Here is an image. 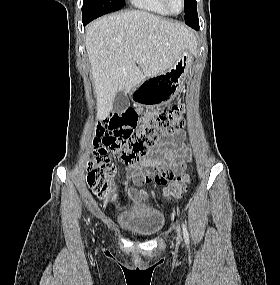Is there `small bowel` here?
<instances>
[{
    "mask_svg": "<svg viewBox=\"0 0 280 285\" xmlns=\"http://www.w3.org/2000/svg\"><path fill=\"white\" fill-rule=\"evenodd\" d=\"M149 114L145 116V119ZM185 136L177 132L169 138L163 139L135 163L127 164L128 179L134 185L160 184L181 173L186 166V161L191 158L189 148L184 144ZM159 171V175L156 172ZM129 195L135 200L147 199L145 190H130Z\"/></svg>",
    "mask_w": 280,
    "mask_h": 285,
    "instance_id": "small-bowel-1",
    "label": "small bowel"
}]
</instances>
